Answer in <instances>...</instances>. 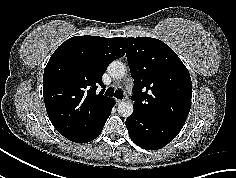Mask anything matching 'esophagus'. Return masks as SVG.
I'll use <instances>...</instances> for the list:
<instances>
[{
	"label": "esophagus",
	"mask_w": 236,
	"mask_h": 178,
	"mask_svg": "<svg viewBox=\"0 0 236 178\" xmlns=\"http://www.w3.org/2000/svg\"><path fill=\"white\" fill-rule=\"evenodd\" d=\"M124 100L123 99H116V103L119 104L121 102H123Z\"/></svg>",
	"instance_id": "esophagus-1"
}]
</instances>
